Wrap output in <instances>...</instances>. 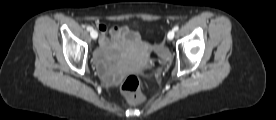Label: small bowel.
I'll list each match as a JSON object with an SVG mask.
<instances>
[{
	"label": "small bowel",
	"instance_id": "1",
	"mask_svg": "<svg viewBox=\"0 0 276 120\" xmlns=\"http://www.w3.org/2000/svg\"><path fill=\"white\" fill-rule=\"evenodd\" d=\"M97 28L100 31L99 50L96 56V68L98 73L107 81L117 78L115 69L111 68L109 55L117 50L134 45L139 40L136 31L128 26L112 27L108 30L104 22H99Z\"/></svg>",
	"mask_w": 276,
	"mask_h": 120
}]
</instances>
